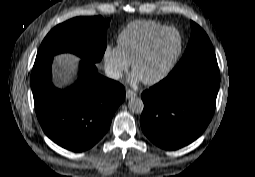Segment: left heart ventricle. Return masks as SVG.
<instances>
[{
  "label": "left heart ventricle",
  "instance_id": "left-heart-ventricle-1",
  "mask_svg": "<svg viewBox=\"0 0 255 177\" xmlns=\"http://www.w3.org/2000/svg\"><path fill=\"white\" fill-rule=\"evenodd\" d=\"M179 36L175 31H170L159 37L147 55L135 66L136 72L142 80L152 79L157 76L178 51Z\"/></svg>",
  "mask_w": 255,
  "mask_h": 177
}]
</instances>
